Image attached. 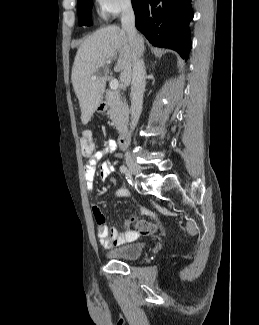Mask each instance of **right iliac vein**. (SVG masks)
Segmentation results:
<instances>
[{
	"label": "right iliac vein",
	"instance_id": "1",
	"mask_svg": "<svg viewBox=\"0 0 259 325\" xmlns=\"http://www.w3.org/2000/svg\"><path fill=\"white\" fill-rule=\"evenodd\" d=\"M125 161H126V164L132 174L137 175V176L141 175L140 166L135 162V160L131 156H126Z\"/></svg>",
	"mask_w": 259,
	"mask_h": 325
}]
</instances>
